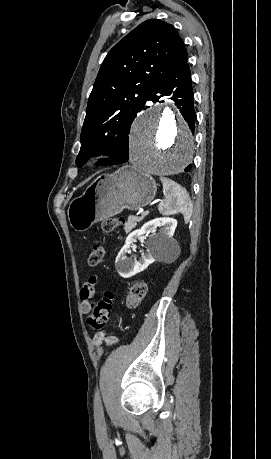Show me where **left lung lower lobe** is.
<instances>
[{
  "instance_id": "obj_1",
  "label": "left lung lower lobe",
  "mask_w": 271,
  "mask_h": 459,
  "mask_svg": "<svg viewBox=\"0 0 271 459\" xmlns=\"http://www.w3.org/2000/svg\"><path fill=\"white\" fill-rule=\"evenodd\" d=\"M165 95H172L171 99L176 102L189 128L194 132L196 113L194 111V93L192 89L191 71L188 61L177 71L164 80L148 97L147 100L158 102ZM163 102V101H160ZM143 109H146L145 107ZM129 153L123 158L113 161L109 165L125 163L128 161ZM191 165L185 168L189 171Z\"/></svg>"
}]
</instances>
